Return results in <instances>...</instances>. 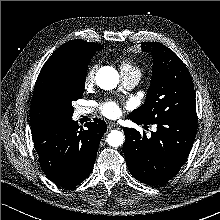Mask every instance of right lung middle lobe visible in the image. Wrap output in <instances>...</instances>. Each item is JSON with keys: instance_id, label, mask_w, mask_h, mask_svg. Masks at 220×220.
<instances>
[{"instance_id": "dd1d6c3e", "label": "right lung middle lobe", "mask_w": 220, "mask_h": 220, "mask_svg": "<svg viewBox=\"0 0 220 220\" xmlns=\"http://www.w3.org/2000/svg\"><path fill=\"white\" fill-rule=\"evenodd\" d=\"M93 55L73 58L62 64L53 75L52 98L57 117L71 118L72 102L83 95L87 67Z\"/></svg>"}]
</instances>
